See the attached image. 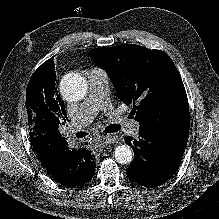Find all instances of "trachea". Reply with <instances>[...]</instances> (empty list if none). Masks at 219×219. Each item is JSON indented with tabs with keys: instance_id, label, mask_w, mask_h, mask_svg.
Segmentation results:
<instances>
[{
	"instance_id": "obj_1",
	"label": "trachea",
	"mask_w": 219,
	"mask_h": 219,
	"mask_svg": "<svg viewBox=\"0 0 219 219\" xmlns=\"http://www.w3.org/2000/svg\"><path fill=\"white\" fill-rule=\"evenodd\" d=\"M120 129H121V128H120L119 125H114V124H112V125L107 126V127L105 128L104 132H106V133H113V132L119 131Z\"/></svg>"
}]
</instances>
